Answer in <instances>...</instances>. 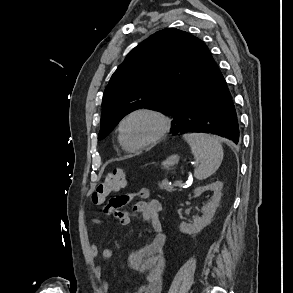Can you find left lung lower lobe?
I'll use <instances>...</instances> for the list:
<instances>
[{"instance_id": "left-lung-lower-lobe-1", "label": "left lung lower lobe", "mask_w": 293, "mask_h": 293, "mask_svg": "<svg viewBox=\"0 0 293 293\" xmlns=\"http://www.w3.org/2000/svg\"><path fill=\"white\" fill-rule=\"evenodd\" d=\"M204 132L239 142L236 111L227 83L215 62L203 85L183 105L172 133Z\"/></svg>"}]
</instances>
